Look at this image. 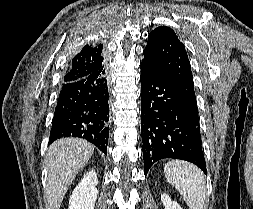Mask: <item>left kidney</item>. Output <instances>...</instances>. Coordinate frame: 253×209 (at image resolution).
Returning a JSON list of instances; mask_svg holds the SVG:
<instances>
[{
    "label": "left kidney",
    "mask_w": 253,
    "mask_h": 209,
    "mask_svg": "<svg viewBox=\"0 0 253 209\" xmlns=\"http://www.w3.org/2000/svg\"><path fill=\"white\" fill-rule=\"evenodd\" d=\"M161 201L165 206V209H182V207L177 203L171 200L167 194L161 195Z\"/></svg>",
    "instance_id": "obj_1"
}]
</instances>
